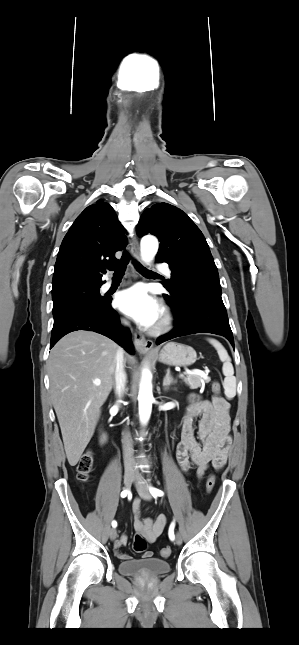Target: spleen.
<instances>
[{
    "instance_id": "obj_1",
    "label": "spleen",
    "mask_w": 299,
    "mask_h": 645,
    "mask_svg": "<svg viewBox=\"0 0 299 645\" xmlns=\"http://www.w3.org/2000/svg\"><path fill=\"white\" fill-rule=\"evenodd\" d=\"M208 341L217 350L219 358L223 362L222 372L225 376L223 382L224 393L228 399H232L236 395V378L234 376L231 358L220 342L215 339H208Z\"/></svg>"
}]
</instances>
